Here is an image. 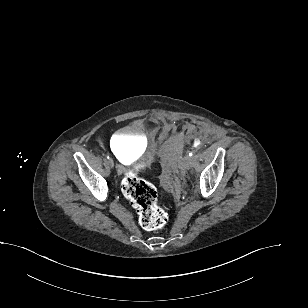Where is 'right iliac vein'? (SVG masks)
<instances>
[{
  "label": "right iliac vein",
  "instance_id": "1",
  "mask_svg": "<svg viewBox=\"0 0 308 308\" xmlns=\"http://www.w3.org/2000/svg\"><path fill=\"white\" fill-rule=\"evenodd\" d=\"M108 162H109V164H110V166H111V167H113V166H114V161H113L112 159H109V161H108Z\"/></svg>",
  "mask_w": 308,
  "mask_h": 308
}]
</instances>
